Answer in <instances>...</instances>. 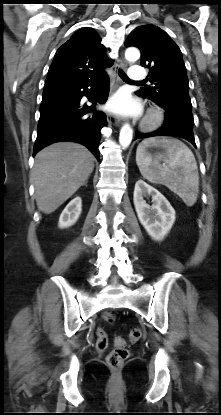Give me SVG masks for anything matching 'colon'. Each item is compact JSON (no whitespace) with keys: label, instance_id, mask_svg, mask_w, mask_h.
I'll return each mask as SVG.
<instances>
[{"label":"colon","instance_id":"1","mask_svg":"<svg viewBox=\"0 0 221 415\" xmlns=\"http://www.w3.org/2000/svg\"><path fill=\"white\" fill-rule=\"evenodd\" d=\"M103 319L108 323H112L115 319L114 314L106 312L103 314ZM143 335L140 327H134L128 336L130 343H136ZM128 342L121 336L114 338V349L107 356V363L113 369L120 368L129 357ZM95 346L99 351H104L108 346V339L105 331L102 328L96 330Z\"/></svg>","mask_w":221,"mask_h":415}]
</instances>
